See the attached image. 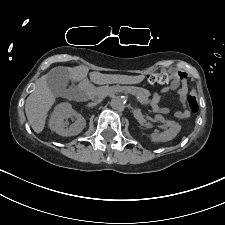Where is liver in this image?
Masks as SVG:
<instances>
[{"mask_svg": "<svg viewBox=\"0 0 225 225\" xmlns=\"http://www.w3.org/2000/svg\"><path fill=\"white\" fill-rule=\"evenodd\" d=\"M69 79L73 82H83L88 74L86 66L67 67ZM90 80L95 84L136 83V80L126 76L90 73ZM55 103V97L47 84V75H43L36 82L34 91L27 97L25 113L29 124L36 133H41L45 127L47 113Z\"/></svg>", "mask_w": 225, "mask_h": 225, "instance_id": "1", "label": "liver"}]
</instances>
